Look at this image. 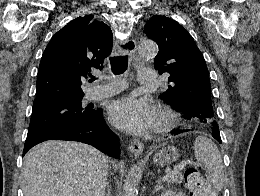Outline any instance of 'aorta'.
Instances as JSON below:
<instances>
[{"label":"aorta","mask_w":260,"mask_h":196,"mask_svg":"<svg viewBox=\"0 0 260 196\" xmlns=\"http://www.w3.org/2000/svg\"><path fill=\"white\" fill-rule=\"evenodd\" d=\"M138 50L143 57L153 58L158 53V46L153 41H144L139 45ZM124 196H137V189L134 186V182L131 176L125 184Z\"/></svg>","instance_id":"obj_1"}]
</instances>
